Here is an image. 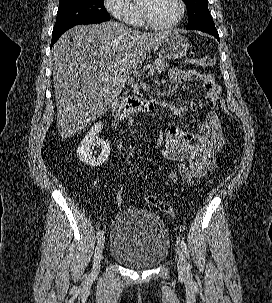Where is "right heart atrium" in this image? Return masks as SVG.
<instances>
[{
	"label": "right heart atrium",
	"mask_w": 272,
	"mask_h": 303,
	"mask_svg": "<svg viewBox=\"0 0 272 303\" xmlns=\"http://www.w3.org/2000/svg\"><path fill=\"white\" fill-rule=\"evenodd\" d=\"M104 5L107 11L119 21L136 24V8L131 0H104Z\"/></svg>",
	"instance_id": "obj_1"
}]
</instances>
